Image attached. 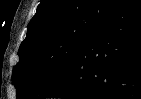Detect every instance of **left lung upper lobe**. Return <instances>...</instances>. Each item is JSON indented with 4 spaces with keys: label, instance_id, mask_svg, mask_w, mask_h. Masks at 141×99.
Masks as SVG:
<instances>
[{
    "label": "left lung upper lobe",
    "instance_id": "left-lung-upper-lobe-1",
    "mask_svg": "<svg viewBox=\"0 0 141 99\" xmlns=\"http://www.w3.org/2000/svg\"><path fill=\"white\" fill-rule=\"evenodd\" d=\"M121 0H42L20 45L12 81L17 99H34L56 84Z\"/></svg>",
    "mask_w": 141,
    "mask_h": 99
}]
</instances>
